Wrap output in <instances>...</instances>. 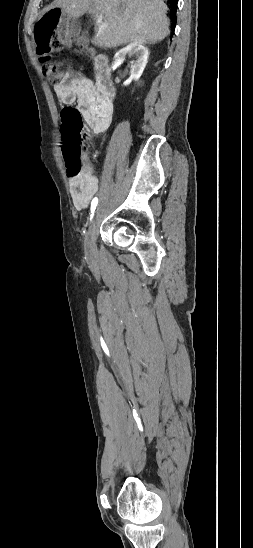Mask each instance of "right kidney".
Masks as SVG:
<instances>
[{"instance_id": "1", "label": "right kidney", "mask_w": 253, "mask_h": 548, "mask_svg": "<svg viewBox=\"0 0 253 548\" xmlns=\"http://www.w3.org/2000/svg\"><path fill=\"white\" fill-rule=\"evenodd\" d=\"M136 56V61L132 67L130 78L124 83L129 85L132 81H138L144 71L149 57V50L143 44L133 42L120 49L114 56L119 63L124 62L127 56Z\"/></svg>"}]
</instances>
